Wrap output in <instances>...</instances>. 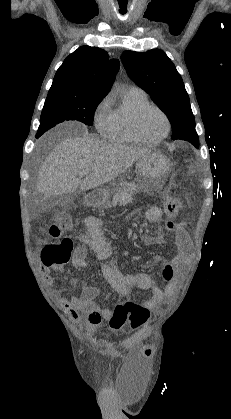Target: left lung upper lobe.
I'll use <instances>...</instances> for the list:
<instances>
[{
  "label": "left lung upper lobe",
  "mask_w": 231,
  "mask_h": 419,
  "mask_svg": "<svg viewBox=\"0 0 231 419\" xmlns=\"http://www.w3.org/2000/svg\"><path fill=\"white\" fill-rule=\"evenodd\" d=\"M128 76L166 113L173 130L171 139L199 145L195 118L181 75L164 51H125L121 56Z\"/></svg>",
  "instance_id": "5c2ea615"
}]
</instances>
